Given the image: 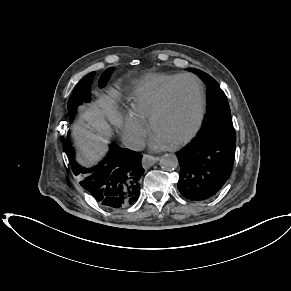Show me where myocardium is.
I'll return each instance as SVG.
<instances>
[{"instance_id":"1","label":"myocardium","mask_w":291,"mask_h":291,"mask_svg":"<svg viewBox=\"0 0 291 291\" xmlns=\"http://www.w3.org/2000/svg\"><path fill=\"white\" fill-rule=\"evenodd\" d=\"M185 80H192L193 82H195V84L197 86V90H198L197 118H196V122H195L193 128L185 136H183L182 138H180L179 140H177L173 143H170V145L173 148L180 147V146L186 144L187 142H189L191 139H193L202 126L204 116H205V91H204V87H203V84L201 83V81L196 76L191 75V74L180 75L167 88V90L165 91V93L161 99V102L156 107V109L151 113L149 120H148L150 129L153 131L156 120L168 109V107L170 106L171 98H172L174 92L179 87V85Z\"/></svg>"}]
</instances>
